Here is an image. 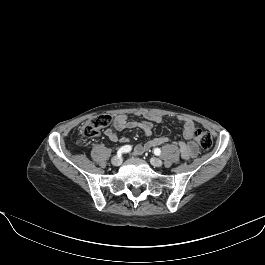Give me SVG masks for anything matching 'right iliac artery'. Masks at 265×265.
<instances>
[{
	"instance_id": "right-iliac-artery-1",
	"label": "right iliac artery",
	"mask_w": 265,
	"mask_h": 265,
	"mask_svg": "<svg viewBox=\"0 0 265 265\" xmlns=\"http://www.w3.org/2000/svg\"><path fill=\"white\" fill-rule=\"evenodd\" d=\"M131 149H132V147H131L130 145L122 146V147L118 150L117 155L121 157L122 154L131 151Z\"/></svg>"
}]
</instances>
